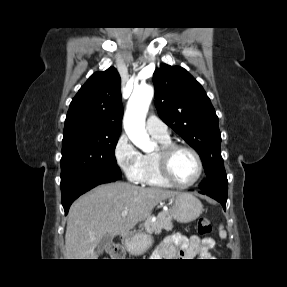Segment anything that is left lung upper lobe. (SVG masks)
Masks as SVG:
<instances>
[{"label":"left lung upper lobe","mask_w":287,"mask_h":287,"mask_svg":"<svg viewBox=\"0 0 287 287\" xmlns=\"http://www.w3.org/2000/svg\"><path fill=\"white\" fill-rule=\"evenodd\" d=\"M160 118L200 155L207 178L203 191L227 196L218 117L201 84L182 67L161 64L153 74Z\"/></svg>","instance_id":"5c2ea615"}]
</instances>
